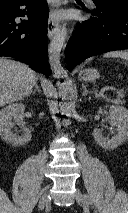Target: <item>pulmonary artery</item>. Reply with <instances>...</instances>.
<instances>
[{"instance_id": "1", "label": "pulmonary artery", "mask_w": 128, "mask_h": 213, "mask_svg": "<svg viewBox=\"0 0 128 213\" xmlns=\"http://www.w3.org/2000/svg\"><path fill=\"white\" fill-rule=\"evenodd\" d=\"M89 3H92V0H87Z\"/></svg>"}]
</instances>
